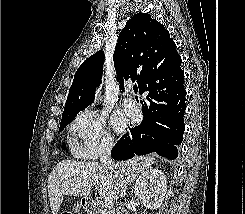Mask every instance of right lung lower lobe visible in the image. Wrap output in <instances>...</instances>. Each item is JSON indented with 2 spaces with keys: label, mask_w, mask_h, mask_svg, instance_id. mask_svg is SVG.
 <instances>
[{
  "label": "right lung lower lobe",
  "mask_w": 245,
  "mask_h": 214,
  "mask_svg": "<svg viewBox=\"0 0 245 214\" xmlns=\"http://www.w3.org/2000/svg\"><path fill=\"white\" fill-rule=\"evenodd\" d=\"M183 79V74L176 76L169 66L150 72L140 93L149 92V103H145L142 109L143 121L130 129V135H124L117 142L111 152L113 159L127 160L151 152L168 159L178 156L175 145L181 144L185 129L186 90Z\"/></svg>",
  "instance_id": "1"
}]
</instances>
